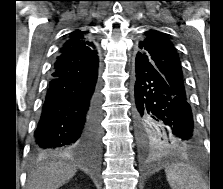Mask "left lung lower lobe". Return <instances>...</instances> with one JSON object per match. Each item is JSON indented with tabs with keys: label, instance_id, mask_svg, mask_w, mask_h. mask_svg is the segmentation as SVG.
I'll list each match as a JSON object with an SVG mask.
<instances>
[{
	"label": "left lung lower lobe",
	"instance_id": "1",
	"mask_svg": "<svg viewBox=\"0 0 223 189\" xmlns=\"http://www.w3.org/2000/svg\"><path fill=\"white\" fill-rule=\"evenodd\" d=\"M134 98L138 131L159 126L181 146L194 147L199 135L188 99L152 66L135 60Z\"/></svg>",
	"mask_w": 223,
	"mask_h": 189
}]
</instances>
